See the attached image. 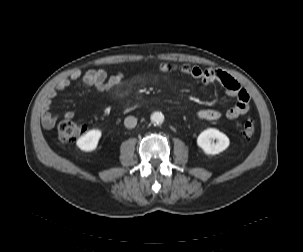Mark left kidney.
<instances>
[{"mask_svg":"<svg viewBox=\"0 0 303 252\" xmlns=\"http://www.w3.org/2000/svg\"><path fill=\"white\" fill-rule=\"evenodd\" d=\"M215 139L217 142H212V140ZM197 145L207 155H216L224 151L229 146V138L217 129L208 128L199 134Z\"/></svg>","mask_w":303,"mask_h":252,"instance_id":"obj_1","label":"left kidney"}]
</instances>
